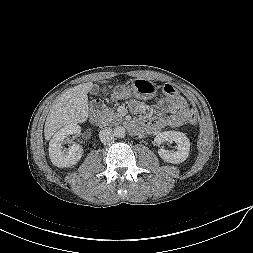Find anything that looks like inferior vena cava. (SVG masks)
Returning <instances> with one entry per match:
<instances>
[{
	"mask_svg": "<svg viewBox=\"0 0 253 253\" xmlns=\"http://www.w3.org/2000/svg\"><path fill=\"white\" fill-rule=\"evenodd\" d=\"M99 138L104 144L112 142L114 140L113 130L110 127L101 129L99 132Z\"/></svg>",
	"mask_w": 253,
	"mask_h": 253,
	"instance_id": "602c4592",
	"label": "inferior vena cava"
}]
</instances>
